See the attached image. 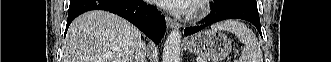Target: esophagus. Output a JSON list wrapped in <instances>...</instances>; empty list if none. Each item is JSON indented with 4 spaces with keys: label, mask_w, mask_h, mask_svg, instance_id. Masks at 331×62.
Returning a JSON list of instances; mask_svg holds the SVG:
<instances>
[{
    "label": "esophagus",
    "mask_w": 331,
    "mask_h": 62,
    "mask_svg": "<svg viewBox=\"0 0 331 62\" xmlns=\"http://www.w3.org/2000/svg\"><path fill=\"white\" fill-rule=\"evenodd\" d=\"M166 25L168 28H171V29L179 28L178 22L169 16H166Z\"/></svg>",
    "instance_id": "esophagus-1"
}]
</instances>
